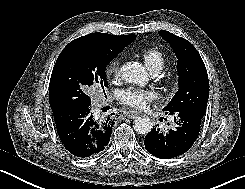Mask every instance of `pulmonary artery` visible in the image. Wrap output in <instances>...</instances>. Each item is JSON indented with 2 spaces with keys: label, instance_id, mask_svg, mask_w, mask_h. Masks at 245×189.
<instances>
[{
  "label": "pulmonary artery",
  "instance_id": "e3ab8cb5",
  "mask_svg": "<svg viewBox=\"0 0 245 189\" xmlns=\"http://www.w3.org/2000/svg\"><path fill=\"white\" fill-rule=\"evenodd\" d=\"M151 73H152L153 76H156L158 74L157 71H152Z\"/></svg>",
  "mask_w": 245,
  "mask_h": 189
}]
</instances>
